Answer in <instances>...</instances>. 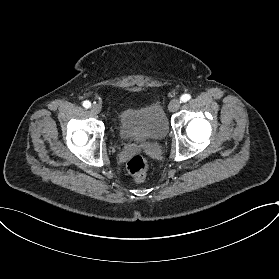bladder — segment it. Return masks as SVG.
<instances>
[{"instance_id":"bladder-1","label":"bladder","mask_w":279,"mask_h":279,"mask_svg":"<svg viewBox=\"0 0 279 279\" xmlns=\"http://www.w3.org/2000/svg\"><path fill=\"white\" fill-rule=\"evenodd\" d=\"M169 122L159 100L124 108L118 115V133L129 143H144L166 136Z\"/></svg>"}]
</instances>
